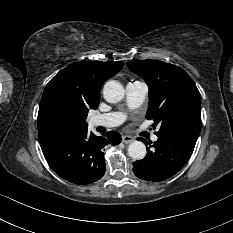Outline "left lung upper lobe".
Wrapping results in <instances>:
<instances>
[{
    "label": "left lung upper lobe",
    "mask_w": 233,
    "mask_h": 233,
    "mask_svg": "<svg viewBox=\"0 0 233 233\" xmlns=\"http://www.w3.org/2000/svg\"><path fill=\"white\" fill-rule=\"evenodd\" d=\"M126 65L149 87L146 118L159 125L156 135L183 128H201V99L190 76L181 68L156 60L130 61Z\"/></svg>",
    "instance_id": "1"
}]
</instances>
